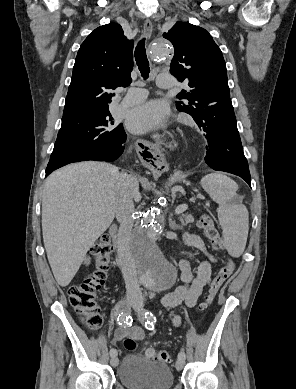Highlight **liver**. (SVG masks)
I'll list each match as a JSON object with an SVG mask.
<instances>
[{
  "mask_svg": "<svg viewBox=\"0 0 296 389\" xmlns=\"http://www.w3.org/2000/svg\"><path fill=\"white\" fill-rule=\"evenodd\" d=\"M116 166L86 161L67 165L45 181L42 197V233L53 275L69 285L88 250L115 217ZM133 198L140 200L134 177Z\"/></svg>",
  "mask_w": 296,
  "mask_h": 389,
  "instance_id": "6515ba94",
  "label": "liver"
}]
</instances>
